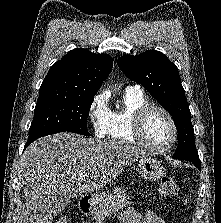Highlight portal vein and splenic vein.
I'll use <instances>...</instances> for the list:
<instances>
[{
  "mask_svg": "<svg viewBox=\"0 0 221 223\" xmlns=\"http://www.w3.org/2000/svg\"><path fill=\"white\" fill-rule=\"evenodd\" d=\"M80 178H81V180L85 181V180H87L88 175H83V176H81Z\"/></svg>",
  "mask_w": 221,
  "mask_h": 223,
  "instance_id": "1",
  "label": "portal vein and splenic vein"
}]
</instances>
